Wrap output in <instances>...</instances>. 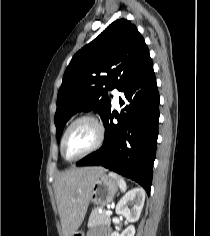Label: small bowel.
Masks as SVG:
<instances>
[{
    "mask_svg": "<svg viewBox=\"0 0 210 236\" xmlns=\"http://www.w3.org/2000/svg\"><path fill=\"white\" fill-rule=\"evenodd\" d=\"M88 236H110V231L90 232Z\"/></svg>",
    "mask_w": 210,
    "mask_h": 236,
    "instance_id": "small-bowel-1",
    "label": "small bowel"
}]
</instances>
